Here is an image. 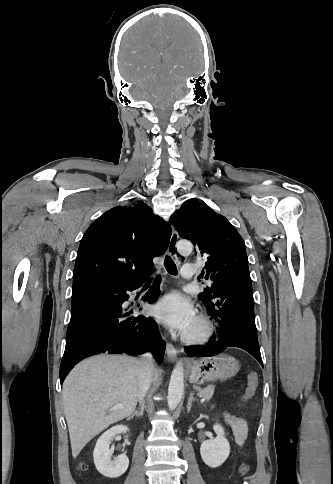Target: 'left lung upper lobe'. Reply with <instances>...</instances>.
<instances>
[{
  "label": "left lung upper lobe",
  "mask_w": 333,
  "mask_h": 484,
  "mask_svg": "<svg viewBox=\"0 0 333 484\" xmlns=\"http://www.w3.org/2000/svg\"><path fill=\"white\" fill-rule=\"evenodd\" d=\"M170 221L180 237L191 240L198 255L207 259L202 274L205 273V278L212 280L213 284L198 297L206 305L212 304L211 300H218L215 279L219 270L230 264H248L242 237L224 216L196 200L184 202Z\"/></svg>",
  "instance_id": "1"
}]
</instances>
